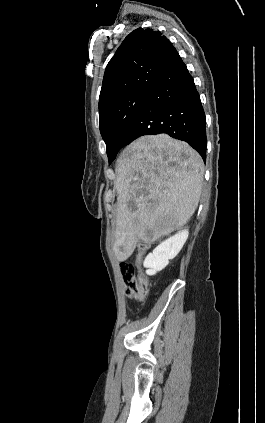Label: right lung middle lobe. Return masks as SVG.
I'll use <instances>...</instances> for the list:
<instances>
[{"label":"right lung middle lobe","instance_id":"1","mask_svg":"<svg viewBox=\"0 0 265 423\" xmlns=\"http://www.w3.org/2000/svg\"><path fill=\"white\" fill-rule=\"evenodd\" d=\"M151 89L132 92L104 109L100 116V132L106 143L109 164L115 159L118 138L140 106L146 100Z\"/></svg>","mask_w":265,"mask_h":423}]
</instances>
